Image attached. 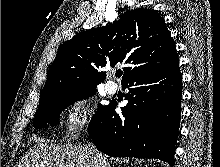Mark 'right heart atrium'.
Listing matches in <instances>:
<instances>
[{
    "label": "right heart atrium",
    "instance_id": "d8ad5b80",
    "mask_svg": "<svg viewBox=\"0 0 220 167\" xmlns=\"http://www.w3.org/2000/svg\"><path fill=\"white\" fill-rule=\"evenodd\" d=\"M90 123V104L86 97L74 98L68 105L63 118V131L67 138H73Z\"/></svg>",
    "mask_w": 220,
    "mask_h": 167
}]
</instances>
